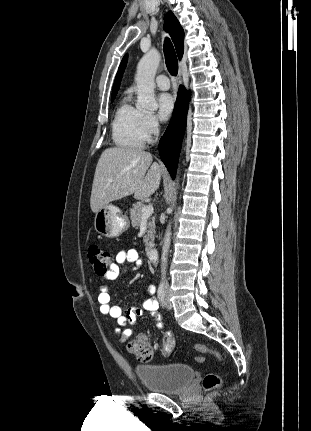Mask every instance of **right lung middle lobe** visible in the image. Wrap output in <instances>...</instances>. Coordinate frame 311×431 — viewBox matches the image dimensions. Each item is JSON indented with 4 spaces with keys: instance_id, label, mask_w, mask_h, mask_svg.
<instances>
[{
    "instance_id": "dd1d6c3e",
    "label": "right lung middle lobe",
    "mask_w": 311,
    "mask_h": 431,
    "mask_svg": "<svg viewBox=\"0 0 311 431\" xmlns=\"http://www.w3.org/2000/svg\"><path fill=\"white\" fill-rule=\"evenodd\" d=\"M113 100H114V97L111 98V101H113Z\"/></svg>"
}]
</instances>
